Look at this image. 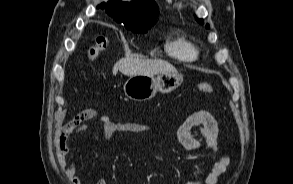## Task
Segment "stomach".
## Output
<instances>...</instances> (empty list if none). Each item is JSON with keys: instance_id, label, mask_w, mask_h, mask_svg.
Returning a JSON list of instances; mask_svg holds the SVG:
<instances>
[{"instance_id": "0dacf381", "label": "stomach", "mask_w": 293, "mask_h": 184, "mask_svg": "<svg viewBox=\"0 0 293 184\" xmlns=\"http://www.w3.org/2000/svg\"><path fill=\"white\" fill-rule=\"evenodd\" d=\"M183 75L178 72H163L156 75H133L124 84L125 95L134 101H145L155 96L157 91L167 94L178 88Z\"/></svg>"}]
</instances>
